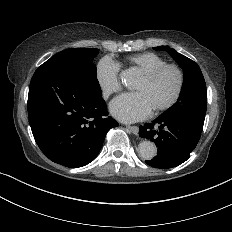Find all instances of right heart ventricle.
Here are the masks:
<instances>
[{
	"instance_id": "obj_1",
	"label": "right heart ventricle",
	"mask_w": 232,
	"mask_h": 232,
	"mask_svg": "<svg viewBox=\"0 0 232 232\" xmlns=\"http://www.w3.org/2000/svg\"><path fill=\"white\" fill-rule=\"evenodd\" d=\"M129 62L134 67L138 68L142 74H145L152 69L167 63L166 59L155 52H141L133 55Z\"/></svg>"
}]
</instances>
